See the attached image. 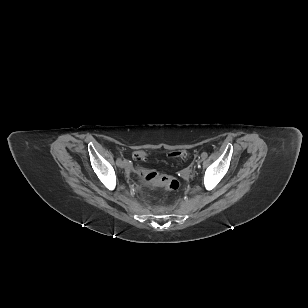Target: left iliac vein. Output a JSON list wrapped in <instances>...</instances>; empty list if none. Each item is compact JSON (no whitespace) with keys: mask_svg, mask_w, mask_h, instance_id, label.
<instances>
[{"mask_svg":"<svg viewBox=\"0 0 308 308\" xmlns=\"http://www.w3.org/2000/svg\"><path fill=\"white\" fill-rule=\"evenodd\" d=\"M201 162H202V159L199 158V159L197 160V163H201Z\"/></svg>","mask_w":308,"mask_h":308,"instance_id":"1","label":"left iliac vein"}]
</instances>
